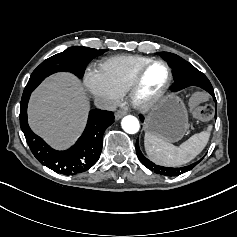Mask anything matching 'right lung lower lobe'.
I'll list each match as a JSON object with an SVG mask.
<instances>
[{
    "instance_id": "98d812e1",
    "label": "right lung lower lobe",
    "mask_w": 237,
    "mask_h": 237,
    "mask_svg": "<svg viewBox=\"0 0 237 237\" xmlns=\"http://www.w3.org/2000/svg\"><path fill=\"white\" fill-rule=\"evenodd\" d=\"M32 91H24L20 103V126L34 156L51 170L75 175L88 170L98 160L102 138L107 127L114 122L112 112L93 109L89 113L86 129L76 144L66 151H57L33 133L27 122V105Z\"/></svg>"
}]
</instances>
